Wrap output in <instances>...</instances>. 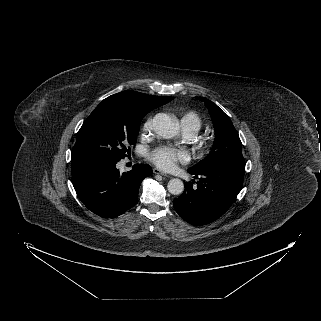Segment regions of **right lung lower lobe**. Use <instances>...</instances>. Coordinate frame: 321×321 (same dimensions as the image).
I'll list each match as a JSON object with an SVG mask.
<instances>
[{
  "instance_id": "right-lung-lower-lobe-1",
  "label": "right lung lower lobe",
  "mask_w": 321,
  "mask_h": 321,
  "mask_svg": "<svg viewBox=\"0 0 321 321\" xmlns=\"http://www.w3.org/2000/svg\"><path fill=\"white\" fill-rule=\"evenodd\" d=\"M116 163L89 159L71 162L72 183L78 197L103 218H115L132 207L142 180L152 174L147 164H136L121 174Z\"/></svg>"
}]
</instances>
